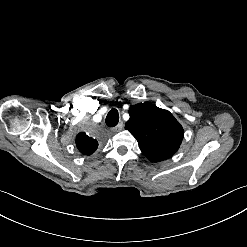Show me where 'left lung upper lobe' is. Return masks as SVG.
<instances>
[{"instance_id": "5c2ea615", "label": "left lung upper lobe", "mask_w": 247, "mask_h": 247, "mask_svg": "<svg viewBox=\"0 0 247 247\" xmlns=\"http://www.w3.org/2000/svg\"><path fill=\"white\" fill-rule=\"evenodd\" d=\"M125 128L137 139L151 162L173 156L183 139V128L173 115L151 103L133 105Z\"/></svg>"}]
</instances>
